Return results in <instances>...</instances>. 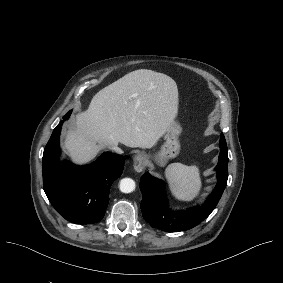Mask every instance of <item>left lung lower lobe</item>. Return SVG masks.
I'll return each instance as SVG.
<instances>
[{"label": "left lung lower lobe", "mask_w": 283, "mask_h": 283, "mask_svg": "<svg viewBox=\"0 0 283 283\" xmlns=\"http://www.w3.org/2000/svg\"><path fill=\"white\" fill-rule=\"evenodd\" d=\"M220 154L216 166L218 183L208 197L207 202L188 211L173 212L167 208L165 184L162 180L152 177L146 172L140 180L142 202L140 204L143 218L153 227L167 232L189 230L204 219L215 209L228 179L227 144L223 133L219 142Z\"/></svg>", "instance_id": "0a47b994"}]
</instances>
